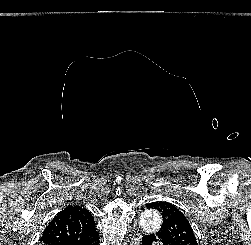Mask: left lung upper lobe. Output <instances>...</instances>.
<instances>
[{
	"mask_svg": "<svg viewBox=\"0 0 251 245\" xmlns=\"http://www.w3.org/2000/svg\"><path fill=\"white\" fill-rule=\"evenodd\" d=\"M146 207L158 210L162 215L163 225L158 233L167 234L178 245H197L187 218L176 206L156 201L147 204Z\"/></svg>",
	"mask_w": 251,
	"mask_h": 245,
	"instance_id": "5c2ea615",
	"label": "left lung upper lobe"
}]
</instances>
